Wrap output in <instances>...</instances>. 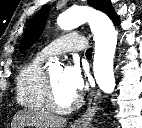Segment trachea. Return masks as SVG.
Here are the masks:
<instances>
[{
	"label": "trachea",
	"instance_id": "3493384b",
	"mask_svg": "<svg viewBox=\"0 0 142 128\" xmlns=\"http://www.w3.org/2000/svg\"><path fill=\"white\" fill-rule=\"evenodd\" d=\"M92 52H93V49H92V48H89V49L86 51V56H87V57H91V56H92Z\"/></svg>",
	"mask_w": 142,
	"mask_h": 128
}]
</instances>
